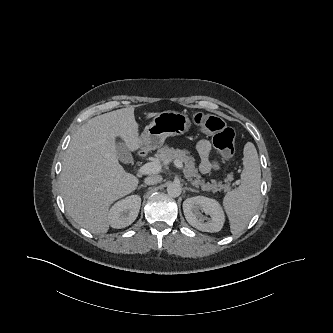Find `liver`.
Returning a JSON list of instances; mask_svg holds the SVG:
<instances>
[{
  "label": "liver",
  "instance_id": "6515ba94",
  "mask_svg": "<svg viewBox=\"0 0 333 333\" xmlns=\"http://www.w3.org/2000/svg\"><path fill=\"white\" fill-rule=\"evenodd\" d=\"M158 113H147L146 118ZM129 151L141 148L134 108L111 111L90 119L73 135L60 176L61 194L71 218L91 233L109 229L110 205L133 192L139 183L119 164L116 138Z\"/></svg>",
  "mask_w": 333,
  "mask_h": 333
}]
</instances>
